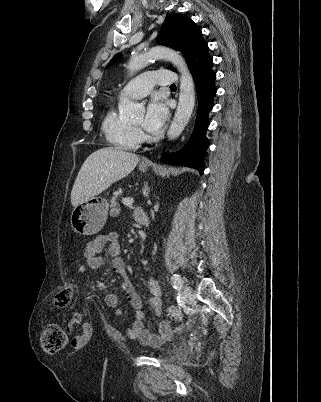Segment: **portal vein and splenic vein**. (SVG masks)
<instances>
[{"instance_id":"portal-vein-and-splenic-vein-1","label":"portal vein and splenic vein","mask_w":321,"mask_h":402,"mask_svg":"<svg viewBox=\"0 0 321 402\" xmlns=\"http://www.w3.org/2000/svg\"><path fill=\"white\" fill-rule=\"evenodd\" d=\"M122 202H123L125 205H132L133 202H134V200H133V198H123V199H122Z\"/></svg>"}]
</instances>
